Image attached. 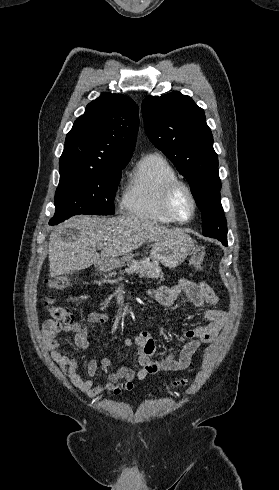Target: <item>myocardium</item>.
Masks as SVG:
<instances>
[{
	"instance_id": "f54148a6",
	"label": "myocardium",
	"mask_w": 279,
	"mask_h": 490,
	"mask_svg": "<svg viewBox=\"0 0 279 490\" xmlns=\"http://www.w3.org/2000/svg\"><path fill=\"white\" fill-rule=\"evenodd\" d=\"M183 190L186 191L192 204L191 214L187 219L184 220L178 216L177 209H176L177 197ZM197 207L198 205H197V200L195 198L194 190L189 182L178 178L176 180H173L168 185L164 194V208L167 214L171 216L174 219V221L180 224H186L190 222L196 215Z\"/></svg>"
}]
</instances>
